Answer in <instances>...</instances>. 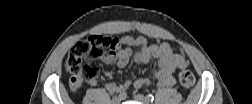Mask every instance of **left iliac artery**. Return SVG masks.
I'll list each match as a JSON object with an SVG mask.
<instances>
[{
  "instance_id": "1",
  "label": "left iliac artery",
  "mask_w": 252,
  "mask_h": 104,
  "mask_svg": "<svg viewBox=\"0 0 252 104\" xmlns=\"http://www.w3.org/2000/svg\"><path fill=\"white\" fill-rule=\"evenodd\" d=\"M146 99H147L148 102H153L154 97H153L152 94H148V95L146 96Z\"/></svg>"
}]
</instances>
